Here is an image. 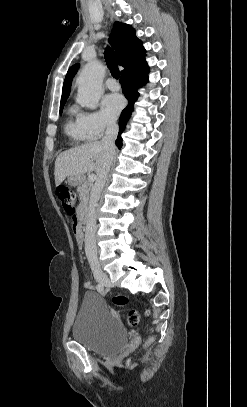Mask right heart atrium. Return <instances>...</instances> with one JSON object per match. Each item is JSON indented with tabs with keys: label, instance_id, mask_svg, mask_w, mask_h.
Instances as JSON below:
<instances>
[{
	"label": "right heart atrium",
	"instance_id": "obj_1",
	"mask_svg": "<svg viewBox=\"0 0 247 407\" xmlns=\"http://www.w3.org/2000/svg\"><path fill=\"white\" fill-rule=\"evenodd\" d=\"M82 121L90 140L98 139L115 126L114 120L102 111L82 113Z\"/></svg>",
	"mask_w": 247,
	"mask_h": 407
}]
</instances>
